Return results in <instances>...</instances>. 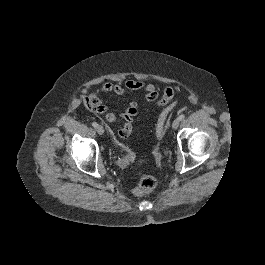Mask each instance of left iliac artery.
I'll use <instances>...</instances> for the list:
<instances>
[{
    "instance_id": "1",
    "label": "left iliac artery",
    "mask_w": 265,
    "mask_h": 265,
    "mask_svg": "<svg viewBox=\"0 0 265 265\" xmlns=\"http://www.w3.org/2000/svg\"><path fill=\"white\" fill-rule=\"evenodd\" d=\"M184 118H185V115H184V114H181V115H179V117H178L179 120H183Z\"/></svg>"
}]
</instances>
